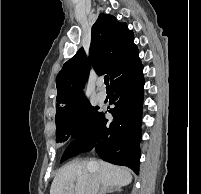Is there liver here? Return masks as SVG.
I'll return each instance as SVG.
<instances>
[{"mask_svg":"<svg viewBox=\"0 0 201 194\" xmlns=\"http://www.w3.org/2000/svg\"><path fill=\"white\" fill-rule=\"evenodd\" d=\"M96 161L75 160L63 166L55 176L50 194H86L92 173H98L102 187H122L131 183V172L124 168L97 161L96 167L90 163ZM68 187V189H65Z\"/></svg>","mask_w":201,"mask_h":194,"instance_id":"liver-1","label":"liver"}]
</instances>
